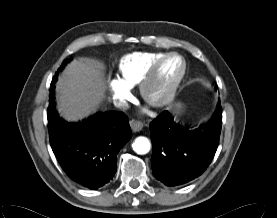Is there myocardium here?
<instances>
[{
	"label": "myocardium",
	"instance_id": "obj_1",
	"mask_svg": "<svg viewBox=\"0 0 277 218\" xmlns=\"http://www.w3.org/2000/svg\"><path fill=\"white\" fill-rule=\"evenodd\" d=\"M169 58H177L180 61V70L176 78L170 83L167 89L160 95H154L151 91L160 66ZM187 70V63L183 56L176 52L165 53L157 58L149 67L143 80L140 83V91L143 99L154 107H161L169 104L175 97L176 91L181 84Z\"/></svg>",
	"mask_w": 277,
	"mask_h": 218
}]
</instances>
